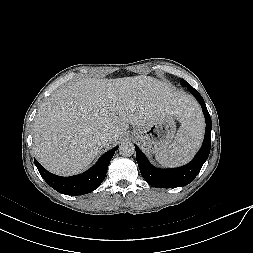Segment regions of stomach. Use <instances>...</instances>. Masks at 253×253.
Returning <instances> with one entry per match:
<instances>
[{
	"label": "stomach",
	"instance_id": "1",
	"mask_svg": "<svg viewBox=\"0 0 253 253\" xmlns=\"http://www.w3.org/2000/svg\"><path fill=\"white\" fill-rule=\"evenodd\" d=\"M176 124L172 116H162L142 126H137L132 135L151 153L164 151L173 141Z\"/></svg>",
	"mask_w": 253,
	"mask_h": 253
}]
</instances>
